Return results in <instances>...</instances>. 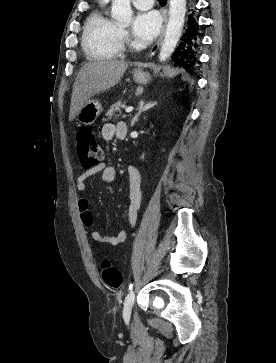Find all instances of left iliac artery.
I'll return each mask as SVG.
<instances>
[{
  "mask_svg": "<svg viewBox=\"0 0 276 363\" xmlns=\"http://www.w3.org/2000/svg\"><path fill=\"white\" fill-rule=\"evenodd\" d=\"M132 287H133V284H130L129 289L131 290V289H132Z\"/></svg>",
  "mask_w": 276,
  "mask_h": 363,
  "instance_id": "44dca946",
  "label": "left iliac artery"
}]
</instances>
